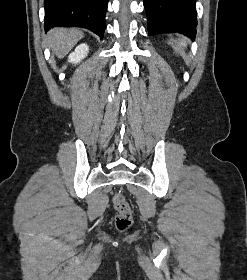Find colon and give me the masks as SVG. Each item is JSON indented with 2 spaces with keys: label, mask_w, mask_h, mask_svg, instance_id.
Listing matches in <instances>:
<instances>
[{
  "label": "colon",
  "mask_w": 247,
  "mask_h": 280,
  "mask_svg": "<svg viewBox=\"0 0 247 280\" xmlns=\"http://www.w3.org/2000/svg\"><path fill=\"white\" fill-rule=\"evenodd\" d=\"M113 205L117 211V229L121 231L127 229L131 225L132 214L130 206L121 192L115 194L113 198Z\"/></svg>",
  "instance_id": "obj_1"
}]
</instances>
